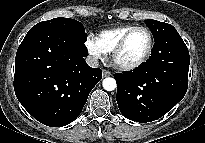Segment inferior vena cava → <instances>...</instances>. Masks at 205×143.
I'll list each match as a JSON object with an SVG mask.
<instances>
[{
    "mask_svg": "<svg viewBox=\"0 0 205 143\" xmlns=\"http://www.w3.org/2000/svg\"><path fill=\"white\" fill-rule=\"evenodd\" d=\"M85 60H86V63L88 64V66H90L92 68H98L99 62H98L97 57L87 56Z\"/></svg>",
    "mask_w": 205,
    "mask_h": 143,
    "instance_id": "obj_1",
    "label": "inferior vena cava"
}]
</instances>
